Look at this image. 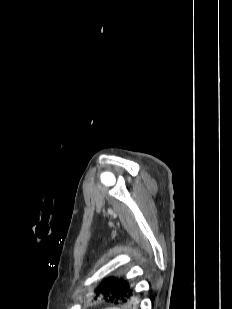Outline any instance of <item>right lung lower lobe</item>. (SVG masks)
<instances>
[{
    "mask_svg": "<svg viewBox=\"0 0 232 309\" xmlns=\"http://www.w3.org/2000/svg\"><path fill=\"white\" fill-rule=\"evenodd\" d=\"M97 295H103L104 298H109L111 301L133 303L134 292L125 280H117L110 286L98 288Z\"/></svg>",
    "mask_w": 232,
    "mask_h": 309,
    "instance_id": "obj_1",
    "label": "right lung lower lobe"
}]
</instances>
